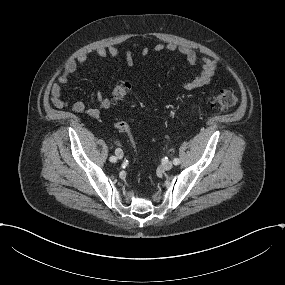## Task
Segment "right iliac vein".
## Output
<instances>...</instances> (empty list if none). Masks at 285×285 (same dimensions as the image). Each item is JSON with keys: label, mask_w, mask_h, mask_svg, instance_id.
<instances>
[{"label": "right iliac vein", "mask_w": 285, "mask_h": 285, "mask_svg": "<svg viewBox=\"0 0 285 285\" xmlns=\"http://www.w3.org/2000/svg\"><path fill=\"white\" fill-rule=\"evenodd\" d=\"M116 156L118 159H122L124 156L123 151L121 149H117L116 150Z\"/></svg>", "instance_id": "1"}]
</instances>
